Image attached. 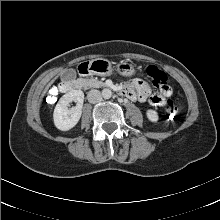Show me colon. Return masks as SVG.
Instances as JSON below:
<instances>
[{
  "instance_id": "1",
  "label": "colon",
  "mask_w": 220,
  "mask_h": 220,
  "mask_svg": "<svg viewBox=\"0 0 220 220\" xmlns=\"http://www.w3.org/2000/svg\"><path fill=\"white\" fill-rule=\"evenodd\" d=\"M146 72L148 75L146 78V84L149 89L158 91L167 86L168 77L158 67L150 65L147 67ZM155 102L159 104V106H165L166 118L169 121L174 122L178 119V108L173 101L155 97Z\"/></svg>"
}]
</instances>
